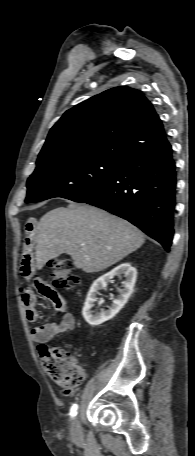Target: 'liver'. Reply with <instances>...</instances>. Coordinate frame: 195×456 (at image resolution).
Listing matches in <instances>:
<instances>
[{
	"instance_id": "6515ba94",
	"label": "liver",
	"mask_w": 195,
	"mask_h": 456,
	"mask_svg": "<svg viewBox=\"0 0 195 456\" xmlns=\"http://www.w3.org/2000/svg\"><path fill=\"white\" fill-rule=\"evenodd\" d=\"M36 266L66 253L86 273L102 271L137 250L143 233L128 221L85 204L46 213L38 224ZM82 244H84L82 246Z\"/></svg>"
}]
</instances>
